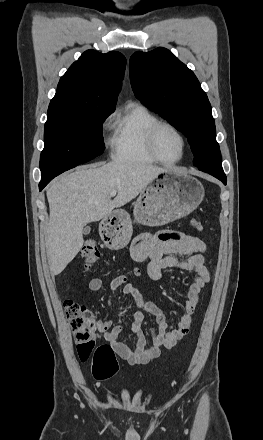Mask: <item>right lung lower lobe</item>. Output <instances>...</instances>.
Returning <instances> with one entry per match:
<instances>
[{
    "instance_id": "1",
    "label": "right lung lower lobe",
    "mask_w": 263,
    "mask_h": 440,
    "mask_svg": "<svg viewBox=\"0 0 263 440\" xmlns=\"http://www.w3.org/2000/svg\"><path fill=\"white\" fill-rule=\"evenodd\" d=\"M53 178H41V182L39 183L40 191L52 180Z\"/></svg>"
}]
</instances>
